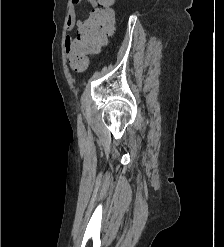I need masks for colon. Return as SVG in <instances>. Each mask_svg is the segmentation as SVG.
<instances>
[{"instance_id":"1","label":"colon","mask_w":224,"mask_h":247,"mask_svg":"<svg viewBox=\"0 0 224 247\" xmlns=\"http://www.w3.org/2000/svg\"><path fill=\"white\" fill-rule=\"evenodd\" d=\"M113 0H99L93 8L89 18L85 20L78 35L80 55L73 61L76 70H82L86 66V60L81 56L101 46L115 26V16L112 9Z\"/></svg>"}]
</instances>
